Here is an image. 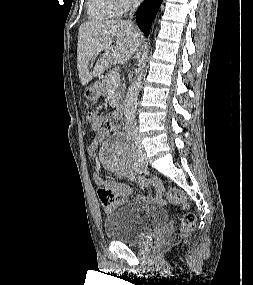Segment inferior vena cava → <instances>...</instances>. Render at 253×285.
<instances>
[{"label":"inferior vena cava","instance_id":"obj_1","mask_svg":"<svg viewBox=\"0 0 253 285\" xmlns=\"http://www.w3.org/2000/svg\"><path fill=\"white\" fill-rule=\"evenodd\" d=\"M139 1H140V0H133V8H132V11H131V13H130V18H132V12H134L135 9L138 7ZM128 22H129V20H128Z\"/></svg>","mask_w":253,"mask_h":285}]
</instances>
